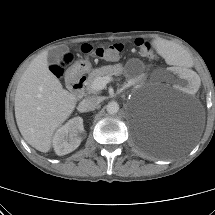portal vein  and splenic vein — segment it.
Listing matches in <instances>:
<instances>
[{"label": "portal vein and splenic vein", "instance_id": "portal-vein-and-splenic-vein-1", "mask_svg": "<svg viewBox=\"0 0 215 215\" xmlns=\"http://www.w3.org/2000/svg\"><path fill=\"white\" fill-rule=\"evenodd\" d=\"M112 80L110 76L96 78L92 83V88L96 91L102 90Z\"/></svg>", "mask_w": 215, "mask_h": 215}]
</instances>
